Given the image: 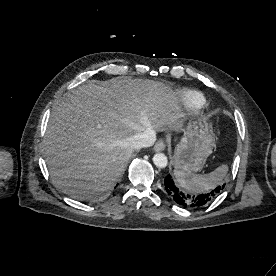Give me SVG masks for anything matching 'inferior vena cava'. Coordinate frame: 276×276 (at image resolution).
I'll use <instances>...</instances> for the list:
<instances>
[{
	"label": "inferior vena cava",
	"instance_id": "inferior-vena-cava-1",
	"mask_svg": "<svg viewBox=\"0 0 276 276\" xmlns=\"http://www.w3.org/2000/svg\"><path fill=\"white\" fill-rule=\"evenodd\" d=\"M129 145L133 149H140L143 147H150L156 141V133L154 130H147L145 132L136 134L128 139Z\"/></svg>",
	"mask_w": 276,
	"mask_h": 276
}]
</instances>
